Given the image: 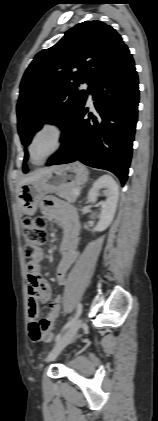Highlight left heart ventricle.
<instances>
[{
	"instance_id": "1",
	"label": "left heart ventricle",
	"mask_w": 158,
	"mask_h": 421,
	"mask_svg": "<svg viewBox=\"0 0 158 421\" xmlns=\"http://www.w3.org/2000/svg\"><path fill=\"white\" fill-rule=\"evenodd\" d=\"M55 145V134L52 130H44L35 139L32 146V157L34 161L44 158Z\"/></svg>"
}]
</instances>
